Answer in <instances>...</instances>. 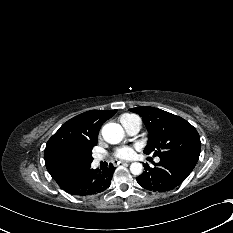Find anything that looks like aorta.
Returning a JSON list of instances; mask_svg holds the SVG:
<instances>
[{
  "instance_id": "obj_1",
  "label": "aorta",
  "mask_w": 233,
  "mask_h": 233,
  "mask_svg": "<svg viewBox=\"0 0 233 233\" xmlns=\"http://www.w3.org/2000/svg\"><path fill=\"white\" fill-rule=\"evenodd\" d=\"M103 139L110 144H118L124 138L123 128L116 123H108L102 128ZM130 171L133 175H140L143 171V166L139 162H133L130 165Z\"/></svg>"
}]
</instances>
